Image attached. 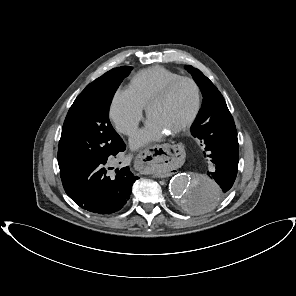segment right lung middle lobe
Returning <instances> with one entry per match:
<instances>
[{
	"instance_id": "dd1d6c3e",
	"label": "right lung middle lobe",
	"mask_w": 296,
	"mask_h": 296,
	"mask_svg": "<svg viewBox=\"0 0 296 296\" xmlns=\"http://www.w3.org/2000/svg\"><path fill=\"white\" fill-rule=\"evenodd\" d=\"M130 66L114 68L94 80L70 107L58 147L60 171L118 154L124 142L109 121V105Z\"/></svg>"
}]
</instances>
